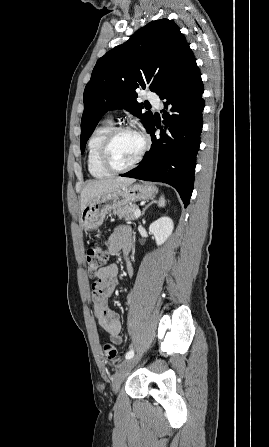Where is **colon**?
Listing matches in <instances>:
<instances>
[{"instance_id":"colon-1","label":"colon","mask_w":269,"mask_h":447,"mask_svg":"<svg viewBox=\"0 0 269 447\" xmlns=\"http://www.w3.org/2000/svg\"><path fill=\"white\" fill-rule=\"evenodd\" d=\"M107 239V235L99 234V232H97L93 238V243L96 245V247L87 250L84 255L86 272L89 278L98 277L101 270L108 263L109 254L104 248L107 243ZM101 349L104 356L110 360H114L119 357L118 349L110 342H104L101 346Z\"/></svg>"}]
</instances>
